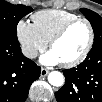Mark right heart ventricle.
Here are the masks:
<instances>
[{
  "instance_id": "right-heart-ventricle-1",
  "label": "right heart ventricle",
  "mask_w": 102,
  "mask_h": 102,
  "mask_svg": "<svg viewBox=\"0 0 102 102\" xmlns=\"http://www.w3.org/2000/svg\"><path fill=\"white\" fill-rule=\"evenodd\" d=\"M76 18H78L77 15L58 9L38 11L32 16L33 25L47 42L66 23Z\"/></svg>"
}]
</instances>
